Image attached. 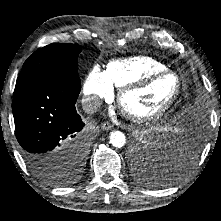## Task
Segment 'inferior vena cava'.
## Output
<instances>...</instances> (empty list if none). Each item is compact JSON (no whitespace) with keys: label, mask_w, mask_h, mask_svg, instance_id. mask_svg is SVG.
<instances>
[{"label":"inferior vena cava","mask_w":221,"mask_h":221,"mask_svg":"<svg viewBox=\"0 0 221 221\" xmlns=\"http://www.w3.org/2000/svg\"><path fill=\"white\" fill-rule=\"evenodd\" d=\"M101 106V100L96 97H87L82 100V107L85 113L93 114Z\"/></svg>","instance_id":"obj_1"}]
</instances>
